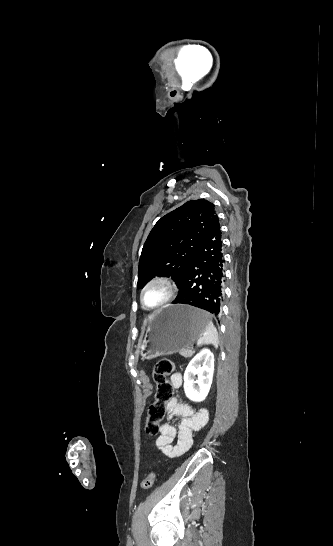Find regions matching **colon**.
<instances>
[{
	"label": "colon",
	"instance_id": "colon-1",
	"mask_svg": "<svg viewBox=\"0 0 333 546\" xmlns=\"http://www.w3.org/2000/svg\"><path fill=\"white\" fill-rule=\"evenodd\" d=\"M175 364L170 359L157 361L152 371V378L156 384V396L154 403L148 410L145 429L148 435L159 433L160 424L165 417L166 405L173 398L174 386L168 377L174 372ZM156 480V474L150 472L141 483L143 489H150Z\"/></svg>",
	"mask_w": 333,
	"mask_h": 546
}]
</instances>
